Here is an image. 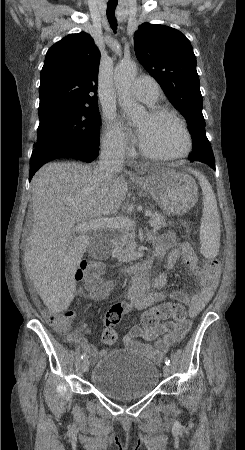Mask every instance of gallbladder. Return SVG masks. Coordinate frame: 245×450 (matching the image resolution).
<instances>
[{
  "label": "gallbladder",
  "mask_w": 245,
  "mask_h": 450,
  "mask_svg": "<svg viewBox=\"0 0 245 450\" xmlns=\"http://www.w3.org/2000/svg\"><path fill=\"white\" fill-rule=\"evenodd\" d=\"M87 250L88 253L95 259H104L106 256L103 246L97 242H92Z\"/></svg>",
  "instance_id": "1"
}]
</instances>
